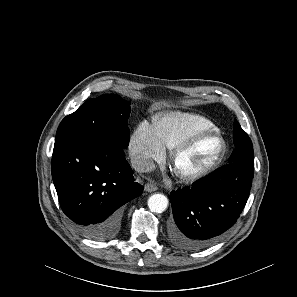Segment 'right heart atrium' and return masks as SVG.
<instances>
[{
	"label": "right heart atrium",
	"instance_id": "d8ad5b80",
	"mask_svg": "<svg viewBox=\"0 0 297 297\" xmlns=\"http://www.w3.org/2000/svg\"><path fill=\"white\" fill-rule=\"evenodd\" d=\"M129 151L134 168L148 171L165 156V148L157 138L153 125L142 121L130 137Z\"/></svg>",
	"mask_w": 297,
	"mask_h": 297
}]
</instances>
